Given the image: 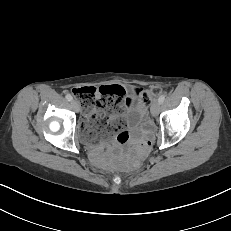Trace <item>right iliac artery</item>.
<instances>
[{
	"instance_id": "1",
	"label": "right iliac artery",
	"mask_w": 231,
	"mask_h": 231,
	"mask_svg": "<svg viewBox=\"0 0 231 231\" xmlns=\"http://www.w3.org/2000/svg\"><path fill=\"white\" fill-rule=\"evenodd\" d=\"M66 99H67L68 101H72L73 98H72V96H71L70 94H67V95H66Z\"/></svg>"
}]
</instances>
